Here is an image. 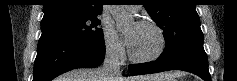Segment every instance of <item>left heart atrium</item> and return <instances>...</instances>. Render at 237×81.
Masks as SVG:
<instances>
[{
	"instance_id": "1",
	"label": "left heart atrium",
	"mask_w": 237,
	"mask_h": 81,
	"mask_svg": "<svg viewBox=\"0 0 237 81\" xmlns=\"http://www.w3.org/2000/svg\"><path fill=\"white\" fill-rule=\"evenodd\" d=\"M132 40H133V34L132 33L127 34V42L129 45L132 43Z\"/></svg>"
}]
</instances>
